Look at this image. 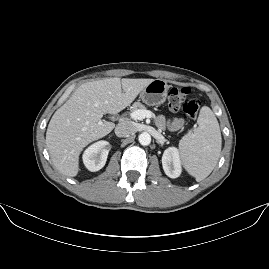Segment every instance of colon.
I'll return each instance as SVG.
<instances>
[{
  "label": "colon",
  "instance_id": "5ec220e1",
  "mask_svg": "<svg viewBox=\"0 0 269 269\" xmlns=\"http://www.w3.org/2000/svg\"><path fill=\"white\" fill-rule=\"evenodd\" d=\"M190 89L187 87H173L168 91V108L172 111L183 110L191 119H196L199 114L201 100L189 97Z\"/></svg>",
  "mask_w": 269,
  "mask_h": 269
}]
</instances>
